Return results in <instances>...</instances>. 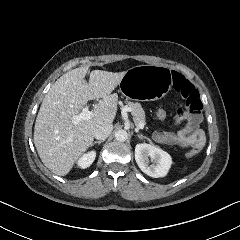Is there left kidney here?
<instances>
[{
	"instance_id": "obj_1",
	"label": "left kidney",
	"mask_w": 240,
	"mask_h": 240,
	"mask_svg": "<svg viewBox=\"0 0 240 240\" xmlns=\"http://www.w3.org/2000/svg\"><path fill=\"white\" fill-rule=\"evenodd\" d=\"M135 160L142 172L153 178L168 176L173 165V158L168 152L157 145L148 143L136 144ZM153 160L156 163L151 164Z\"/></svg>"
}]
</instances>
